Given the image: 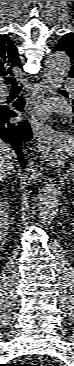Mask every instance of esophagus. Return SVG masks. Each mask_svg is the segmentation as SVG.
<instances>
[{
  "label": "esophagus",
  "mask_w": 74,
  "mask_h": 366,
  "mask_svg": "<svg viewBox=\"0 0 74 366\" xmlns=\"http://www.w3.org/2000/svg\"><path fill=\"white\" fill-rule=\"evenodd\" d=\"M45 103V86L43 83H37L33 86L27 100L26 109L29 114V121L37 141L38 148L44 150L49 145L48 137L52 130L45 126V121L49 118L44 116L43 111L36 109Z\"/></svg>",
  "instance_id": "esophagus-1"
}]
</instances>
